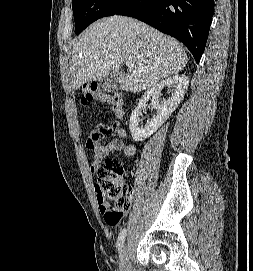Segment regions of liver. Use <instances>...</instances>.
Masks as SVG:
<instances>
[{
  "label": "liver",
  "mask_w": 253,
  "mask_h": 271,
  "mask_svg": "<svg viewBox=\"0 0 253 271\" xmlns=\"http://www.w3.org/2000/svg\"><path fill=\"white\" fill-rule=\"evenodd\" d=\"M125 61H132L134 67L124 74L120 88L135 93L184 69L187 55L178 41L143 22L116 15L103 18L73 44L70 88L102 81Z\"/></svg>",
  "instance_id": "obj_1"
}]
</instances>
